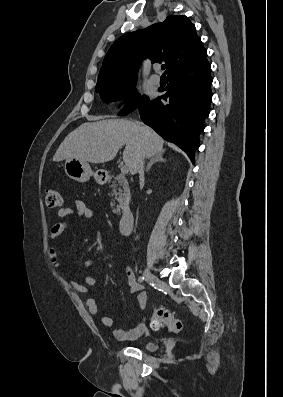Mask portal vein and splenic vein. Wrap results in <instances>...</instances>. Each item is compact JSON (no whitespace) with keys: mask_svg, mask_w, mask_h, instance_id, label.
Wrapping results in <instances>:
<instances>
[{"mask_svg":"<svg viewBox=\"0 0 283 397\" xmlns=\"http://www.w3.org/2000/svg\"><path fill=\"white\" fill-rule=\"evenodd\" d=\"M121 174H127L128 173V171H129V169H128V167L126 166V165H123V166H121Z\"/></svg>","mask_w":283,"mask_h":397,"instance_id":"1","label":"portal vein and splenic vein"}]
</instances>
